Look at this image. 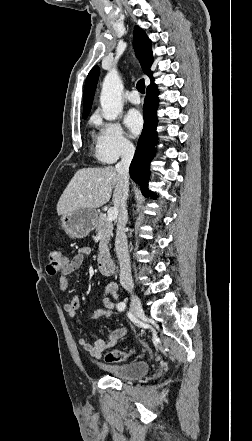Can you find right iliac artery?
Returning a JSON list of instances; mask_svg holds the SVG:
<instances>
[{"mask_svg": "<svg viewBox=\"0 0 252 441\" xmlns=\"http://www.w3.org/2000/svg\"><path fill=\"white\" fill-rule=\"evenodd\" d=\"M125 307H126V305H125L124 302H120V303L117 305V308H118L119 311H123V310L125 309Z\"/></svg>", "mask_w": 252, "mask_h": 441, "instance_id": "right-iliac-artery-1", "label": "right iliac artery"}]
</instances>
